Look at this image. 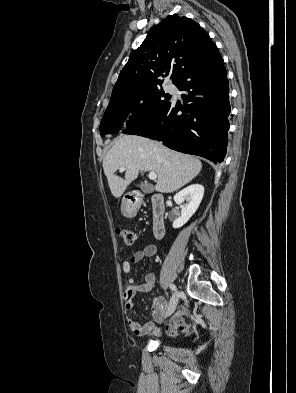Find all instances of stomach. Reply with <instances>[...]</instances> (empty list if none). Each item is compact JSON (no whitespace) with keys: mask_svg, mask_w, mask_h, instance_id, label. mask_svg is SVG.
Segmentation results:
<instances>
[{"mask_svg":"<svg viewBox=\"0 0 296 393\" xmlns=\"http://www.w3.org/2000/svg\"><path fill=\"white\" fill-rule=\"evenodd\" d=\"M121 210H122L123 215H125V216H129V215L131 214V210H130L129 207H128L126 204H124V203L122 204Z\"/></svg>","mask_w":296,"mask_h":393,"instance_id":"obj_1","label":"stomach"}]
</instances>
